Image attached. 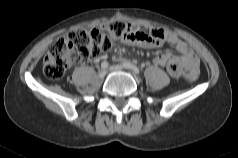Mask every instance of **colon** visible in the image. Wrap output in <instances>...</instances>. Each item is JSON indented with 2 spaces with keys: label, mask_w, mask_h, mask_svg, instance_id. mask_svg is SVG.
I'll return each instance as SVG.
<instances>
[{
  "label": "colon",
  "mask_w": 238,
  "mask_h": 158,
  "mask_svg": "<svg viewBox=\"0 0 238 158\" xmlns=\"http://www.w3.org/2000/svg\"><path fill=\"white\" fill-rule=\"evenodd\" d=\"M132 34L131 24L123 21L92 29H73L50 48L43 61V72L50 79H59L74 62L97 56L109 50L115 41L130 39ZM183 76L188 82H194L199 77V68L188 67Z\"/></svg>",
  "instance_id": "colon-1"
}]
</instances>
